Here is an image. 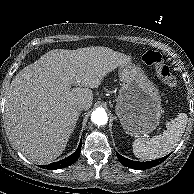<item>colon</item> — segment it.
<instances>
[{
	"label": "colon",
	"mask_w": 194,
	"mask_h": 194,
	"mask_svg": "<svg viewBox=\"0 0 194 194\" xmlns=\"http://www.w3.org/2000/svg\"><path fill=\"white\" fill-rule=\"evenodd\" d=\"M142 60L155 68L157 75L169 88L173 89L176 87L177 80L159 52L153 50L147 51L142 56Z\"/></svg>",
	"instance_id": "5ec220e1"
}]
</instances>
